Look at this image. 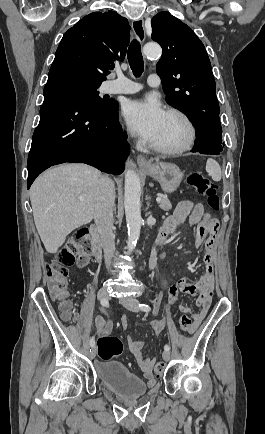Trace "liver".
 Masks as SVG:
<instances>
[{"instance_id": "liver-1", "label": "liver", "mask_w": 265, "mask_h": 434, "mask_svg": "<svg viewBox=\"0 0 265 434\" xmlns=\"http://www.w3.org/2000/svg\"><path fill=\"white\" fill-rule=\"evenodd\" d=\"M100 176L85 164H65L47 170L32 184L34 222L49 254H56L73 230L92 222Z\"/></svg>"}]
</instances>
